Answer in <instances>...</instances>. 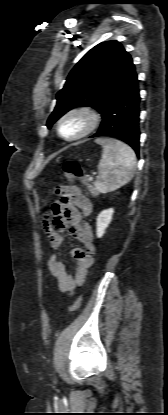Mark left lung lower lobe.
Wrapping results in <instances>:
<instances>
[{
    "label": "left lung lower lobe",
    "instance_id": "obj_1",
    "mask_svg": "<svg viewBox=\"0 0 168 415\" xmlns=\"http://www.w3.org/2000/svg\"><path fill=\"white\" fill-rule=\"evenodd\" d=\"M140 95L135 73L110 100L102 113L99 130L92 137L111 136L130 145L139 154Z\"/></svg>",
    "mask_w": 168,
    "mask_h": 415
}]
</instances>
